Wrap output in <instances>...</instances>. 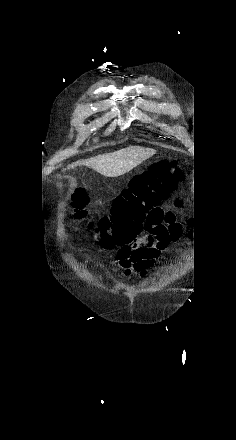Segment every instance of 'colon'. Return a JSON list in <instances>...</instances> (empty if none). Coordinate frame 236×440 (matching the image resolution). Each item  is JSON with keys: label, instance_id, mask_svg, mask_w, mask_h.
I'll list each match as a JSON object with an SVG mask.
<instances>
[{"label": "colon", "instance_id": "5ec220e1", "mask_svg": "<svg viewBox=\"0 0 236 440\" xmlns=\"http://www.w3.org/2000/svg\"><path fill=\"white\" fill-rule=\"evenodd\" d=\"M180 168L174 162H158L149 170L135 176L115 200L109 215L91 224L104 247L130 242L141 229L147 214L157 207L183 180ZM88 197L81 188L72 197V213L76 219L86 217Z\"/></svg>", "mask_w": 236, "mask_h": 440}]
</instances>
